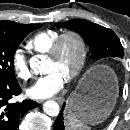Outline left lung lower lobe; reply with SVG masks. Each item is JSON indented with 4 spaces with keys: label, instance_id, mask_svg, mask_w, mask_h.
<instances>
[{
    "label": "left lung lower lobe",
    "instance_id": "left-lung-lower-lobe-1",
    "mask_svg": "<svg viewBox=\"0 0 130 130\" xmlns=\"http://www.w3.org/2000/svg\"><path fill=\"white\" fill-rule=\"evenodd\" d=\"M109 84V81L108 79H105V78H102V79H98V78H95L93 76H90L84 86H83V92L84 94H90L92 93V91L97 88L98 86L100 85H108ZM65 106V103L64 105ZM63 110L64 108H62L60 114L58 115L55 123H54V130H65V126H64V118H63Z\"/></svg>",
    "mask_w": 130,
    "mask_h": 130
}]
</instances>
